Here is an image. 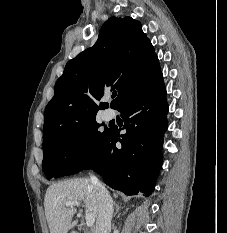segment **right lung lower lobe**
<instances>
[{"label":"right lung lower lobe","mask_w":227,"mask_h":233,"mask_svg":"<svg viewBox=\"0 0 227 233\" xmlns=\"http://www.w3.org/2000/svg\"><path fill=\"white\" fill-rule=\"evenodd\" d=\"M119 111L126 133L120 135L118 129H110L108 138L85 169L96 171L107 185L127 195H150L162 166L163 136L168 127L163 79ZM117 142L121 148L116 147Z\"/></svg>","instance_id":"right-lung-lower-lobe-1"}]
</instances>
